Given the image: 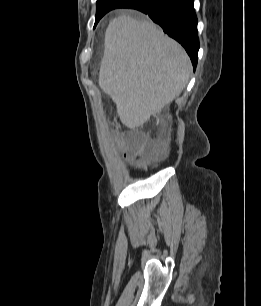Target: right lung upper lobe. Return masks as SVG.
<instances>
[{
	"mask_svg": "<svg viewBox=\"0 0 261 306\" xmlns=\"http://www.w3.org/2000/svg\"><path fill=\"white\" fill-rule=\"evenodd\" d=\"M103 1H107V0H97V3H100V2H103Z\"/></svg>",
	"mask_w": 261,
	"mask_h": 306,
	"instance_id": "cb5924a9",
	"label": "right lung upper lobe"
}]
</instances>
